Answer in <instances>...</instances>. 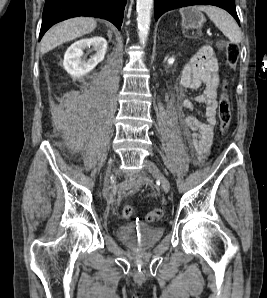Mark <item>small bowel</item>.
I'll return each mask as SVG.
<instances>
[{
    "instance_id": "obj_1",
    "label": "small bowel",
    "mask_w": 267,
    "mask_h": 298,
    "mask_svg": "<svg viewBox=\"0 0 267 298\" xmlns=\"http://www.w3.org/2000/svg\"><path fill=\"white\" fill-rule=\"evenodd\" d=\"M219 63L212 48L202 47L184 66L181 85L185 89L197 90L204 86L202 94L194 100L205 105L204 121L197 116H182L184 134L192 139V145L199 161H203L209 152L216 125L217 91L220 83ZM182 109L194 111L192 100H184ZM143 181H138L139 187Z\"/></svg>"
}]
</instances>
